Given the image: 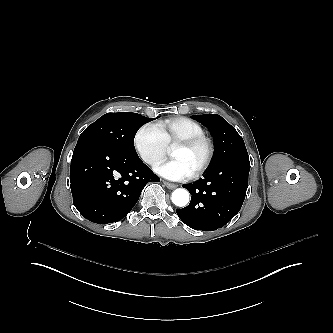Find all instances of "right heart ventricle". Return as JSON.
Listing matches in <instances>:
<instances>
[{
    "label": "right heart ventricle",
    "instance_id": "1",
    "mask_svg": "<svg viewBox=\"0 0 333 333\" xmlns=\"http://www.w3.org/2000/svg\"><path fill=\"white\" fill-rule=\"evenodd\" d=\"M167 147L188 138L204 136V130L197 122L182 116L169 118L159 124Z\"/></svg>",
    "mask_w": 333,
    "mask_h": 333
}]
</instances>
